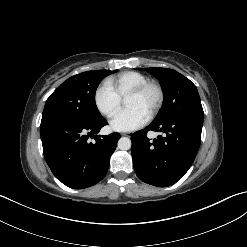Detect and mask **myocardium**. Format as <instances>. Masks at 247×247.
I'll return each instance as SVG.
<instances>
[{"mask_svg": "<svg viewBox=\"0 0 247 247\" xmlns=\"http://www.w3.org/2000/svg\"><path fill=\"white\" fill-rule=\"evenodd\" d=\"M148 89H154L156 92V101L148 114V117L151 119L159 112L165 99L164 89L158 81L155 80L145 81L144 83L138 85L137 87L129 91L125 96V99L128 97L140 96Z\"/></svg>", "mask_w": 247, "mask_h": 247, "instance_id": "1", "label": "myocardium"}]
</instances>
